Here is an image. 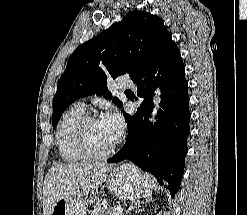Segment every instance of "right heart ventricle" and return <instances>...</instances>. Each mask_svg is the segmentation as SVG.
<instances>
[{
    "instance_id": "1",
    "label": "right heart ventricle",
    "mask_w": 247,
    "mask_h": 215,
    "mask_svg": "<svg viewBox=\"0 0 247 215\" xmlns=\"http://www.w3.org/2000/svg\"><path fill=\"white\" fill-rule=\"evenodd\" d=\"M84 115V107L74 104L61 117L55 133L56 145L63 161L77 163L86 158L79 152L74 140V128Z\"/></svg>"
}]
</instances>
